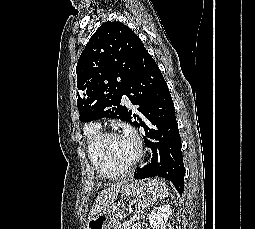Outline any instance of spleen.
Instances as JSON below:
<instances>
[{
    "label": "spleen",
    "mask_w": 255,
    "mask_h": 229,
    "mask_svg": "<svg viewBox=\"0 0 255 229\" xmlns=\"http://www.w3.org/2000/svg\"><path fill=\"white\" fill-rule=\"evenodd\" d=\"M153 196L155 198L157 197L164 198L168 196V188L163 181H159L157 179L155 180Z\"/></svg>",
    "instance_id": "obj_1"
}]
</instances>
